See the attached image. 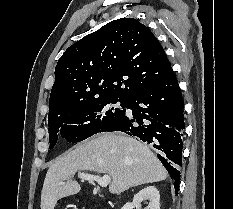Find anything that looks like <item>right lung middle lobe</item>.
<instances>
[{
	"label": "right lung middle lobe",
	"instance_id": "1",
	"mask_svg": "<svg viewBox=\"0 0 233 209\" xmlns=\"http://www.w3.org/2000/svg\"><path fill=\"white\" fill-rule=\"evenodd\" d=\"M117 102L121 103L122 108L126 107L125 99L106 98L49 113V148L55 146L59 136L68 142H79L111 127L125 114V109L112 106Z\"/></svg>",
	"mask_w": 233,
	"mask_h": 209
}]
</instances>
